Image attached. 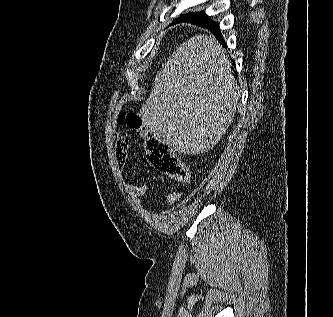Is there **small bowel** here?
Instances as JSON below:
<instances>
[{
	"label": "small bowel",
	"mask_w": 333,
	"mask_h": 317,
	"mask_svg": "<svg viewBox=\"0 0 333 317\" xmlns=\"http://www.w3.org/2000/svg\"><path fill=\"white\" fill-rule=\"evenodd\" d=\"M130 144V138L126 133H120L117 136L116 140V152H115V160L116 165L119 170H121L128 156V148ZM126 190L132 199L140 206H143L142 197L147 192L148 186L146 183L141 184H125ZM179 198V193L172 192L167 195V202L172 204Z\"/></svg>",
	"instance_id": "small-bowel-1"
}]
</instances>
